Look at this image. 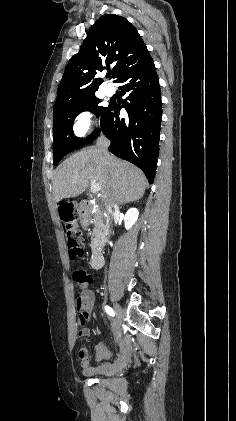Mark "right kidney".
I'll use <instances>...</instances> for the list:
<instances>
[{
  "label": "right kidney",
  "mask_w": 236,
  "mask_h": 421,
  "mask_svg": "<svg viewBox=\"0 0 236 421\" xmlns=\"http://www.w3.org/2000/svg\"><path fill=\"white\" fill-rule=\"evenodd\" d=\"M138 208H129V211H127L125 215V229L129 231L131 229L132 225H135L137 219H138Z\"/></svg>",
  "instance_id": "right-kidney-1"
}]
</instances>
